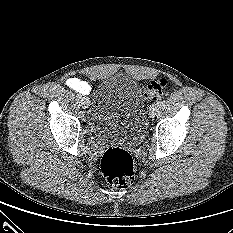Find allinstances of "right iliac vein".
Segmentation results:
<instances>
[{"label":"right iliac vein","instance_id":"obj_1","mask_svg":"<svg viewBox=\"0 0 233 233\" xmlns=\"http://www.w3.org/2000/svg\"><path fill=\"white\" fill-rule=\"evenodd\" d=\"M81 105L83 108H88L90 106V101L87 97L81 99Z\"/></svg>","mask_w":233,"mask_h":233}]
</instances>
